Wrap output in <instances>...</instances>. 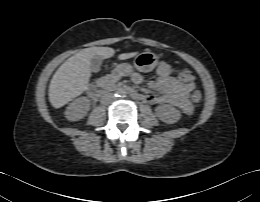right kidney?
Returning <instances> with one entry per match:
<instances>
[{
    "label": "right kidney",
    "mask_w": 260,
    "mask_h": 202,
    "mask_svg": "<svg viewBox=\"0 0 260 202\" xmlns=\"http://www.w3.org/2000/svg\"><path fill=\"white\" fill-rule=\"evenodd\" d=\"M90 109V100L87 97H79L69 104L65 116L70 121L83 119Z\"/></svg>",
    "instance_id": "1"
}]
</instances>
